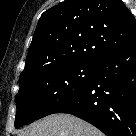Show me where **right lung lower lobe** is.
Masks as SVG:
<instances>
[{"label":"right lung lower lobe","mask_w":136,"mask_h":136,"mask_svg":"<svg viewBox=\"0 0 136 136\" xmlns=\"http://www.w3.org/2000/svg\"><path fill=\"white\" fill-rule=\"evenodd\" d=\"M54 113H68L107 136L136 133V40L103 57L90 84Z\"/></svg>","instance_id":"1"}]
</instances>
